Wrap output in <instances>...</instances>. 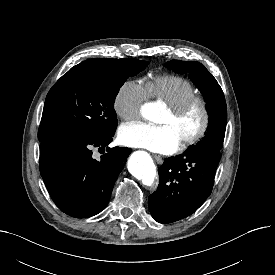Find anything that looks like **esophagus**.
<instances>
[{
    "label": "esophagus",
    "mask_w": 275,
    "mask_h": 275,
    "mask_svg": "<svg viewBox=\"0 0 275 275\" xmlns=\"http://www.w3.org/2000/svg\"><path fill=\"white\" fill-rule=\"evenodd\" d=\"M155 161L158 163V164H162L163 163V159L161 156L159 155H153Z\"/></svg>",
    "instance_id": "34e87169"
}]
</instances>
